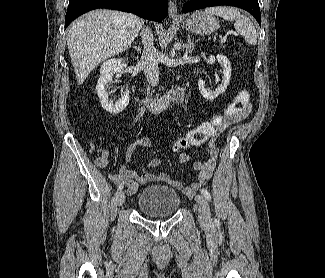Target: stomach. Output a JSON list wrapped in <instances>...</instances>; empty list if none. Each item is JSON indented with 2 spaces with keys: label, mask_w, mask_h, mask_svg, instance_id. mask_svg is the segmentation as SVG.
<instances>
[{
  "label": "stomach",
  "mask_w": 325,
  "mask_h": 278,
  "mask_svg": "<svg viewBox=\"0 0 325 278\" xmlns=\"http://www.w3.org/2000/svg\"><path fill=\"white\" fill-rule=\"evenodd\" d=\"M182 27L188 31L208 35L213 33L218 28V23L212 14L196 11L187 19L180 22Z\"/></svg>",
  "instance_id": "obj_1"
}]
</instances>
